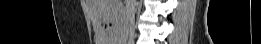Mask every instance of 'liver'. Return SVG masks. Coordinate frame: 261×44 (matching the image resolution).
Returning <instances> with one entry per match:
<instances>
[{"label":"liver","instance_id":"1","mask_svg":"<svg viewBox=\"0 0 261 44\" xmlns=\"http://www.w3.org/2000/svg\"><path fill=\"white\" fill-rule=\"evenodd\" d=\"M90 14L94 19V24H132L126 8H122L121 0H87ZM98 30L97 44H117L125 42L121 36L124 35L125 25H95ZM121 44V43H120Z\"/></svg>","mask_w":261,"mask_h":44}]
</instances>
